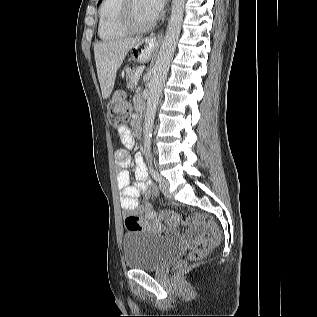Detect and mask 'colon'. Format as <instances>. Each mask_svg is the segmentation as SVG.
Instances as JSON below:
<instances>
[{"label":"colon","instance_id":"obj_1","mask_svg":"<svg viewBox=\"0 0 317 317\" xmlns=\"http://www.w3.org/2000/svg\"><path fill=\"white\" fill-rule=\"evenodd\" d=\"M131 107L127 100V96L123 90H116L107 104V116L109 123L114 128L121 127L130 116ZM162 219L169 225L177 224H195L194 219H190L187 216H181L173 212H165L162 215ZM209 231L202 238L201 242L194 247L188 255L186 262H194L202 259L207 251L215 246H217L221 239V233L215 224L211 221H207ZM125 226L127 229L132 231L143 230V229H153L160 231L162 229V224L157 221L156 223H151L144 218L138 216L129 215L125 219ZM186 262L183 263L186 264Z\"/></svg>","mask_w":317,"mask_h":317}]
</instances>
